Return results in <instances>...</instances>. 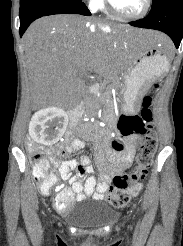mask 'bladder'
<instances>
[{
    "mask_svg": "<svg viewBox=\"0 0 183 246\" xmlns=\"http://www.w3.org/2000/svg\"><path fill=\"white\" fill-rule=\"evenodd\" d=\"M114 215V210L106 203L89 206L72 216V220L78 226L97 227L106 224Z\"/></svg>",
    "mask_w": 183,
    "mask_h": 246,
    "instance_id": "1",
    "label": "bladder"
}]
</instances>
